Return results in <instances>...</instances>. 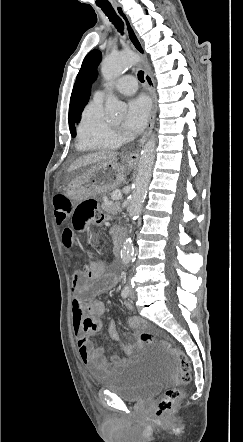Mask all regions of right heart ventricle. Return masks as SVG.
Masks as SVG:
<instances>
[{
	"instance_id": "1",
	"label": "right heart ventricle",
	"mask_w": 243,
	"mask_h": 442,
	"mask_svg": "<svg viewBox=\"0 0 243 442\" xmlns=\"http://www.w3.org/2000/svg\"><path fill=\"white\" fill-rule=\"evenodd\" d=\"M119 141L108 132L102 100L93 98L83 109L77 127L76 148L80 152L113 149Z\"/></svg>"
}]
</instances>
